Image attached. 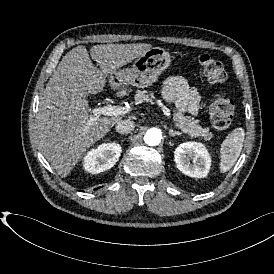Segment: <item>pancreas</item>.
Listing matches in <instances>:
<instances>
[{"instance_id": "1", "label": "pancreas", "mask_w": 274, "mask_h": 274, "mask_svg": "<svg viewBox=\"0 0 274 274\" xmlns=\"http://www.w3.org/2000/svg\"><path fill=\"white\" fill-rule=\"evenodd\" d=\"M135 101L136 103L152 102L153 98L151 95L147 94V91L137 90ZM173 120L175 121V126L190 137H203L206 141L213 137L209 128H203L198 124V120H195L190 116H184L182 113L177 112L173 114Z\"/></svg>"}]
</instances>
